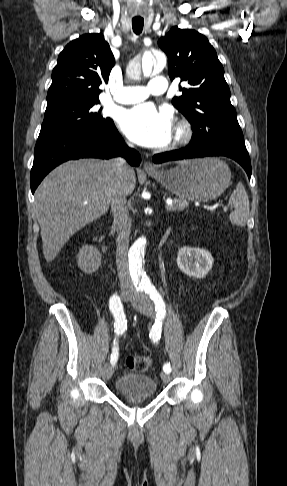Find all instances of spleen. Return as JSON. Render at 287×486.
Wrapping results in <instances>:
<instances>
[{
  "mask_svg": "<svg viewBox=\"0 0 287 486\" xmlns=\"http://www.w3.org/2000/svg\"><path fill=\"white\" fill-rule=\"evenodd\" d=\"M229 204L235 209L229 215V219L233 225L244 227L249 217V198L244 185L239 182L236 189L229 198Z\"/></svg>",
  "mask_w": 287,
  "mask_h": 486,
  "instance_id": "spleen-1",
  "label": "spleen"
}]
</instances>
